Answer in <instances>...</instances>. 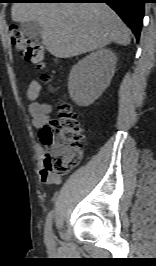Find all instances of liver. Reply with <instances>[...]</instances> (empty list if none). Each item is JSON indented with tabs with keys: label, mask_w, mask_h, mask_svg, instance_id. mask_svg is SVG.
<instances>
[{
	"label": "liver",
	"mask_w": 156,
	"mask_h": 266,
	"mask_svg": "<svg viewBox=\"0 0 156 266\" xmlns=\"http://www.w3.org/2000/svg\"><path fill=\"white\" fill-rule=\"evenodd\" d=\"M14 22H38L42 44L55 57L70 58L115 42L130 44V33L105 3H14Z\"/></svg>",
	"instance_id": "obj_1"
}]
</instances>
